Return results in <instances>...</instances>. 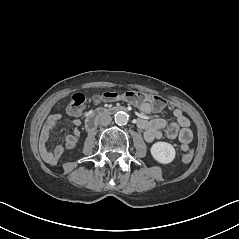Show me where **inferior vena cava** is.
<instances>
[{"label":"inferior vena cava","instance_id":"1","mask_svg":"<svg viewBox=\"0 0 239 239\" xmlns=\"http://www.w3.org/2000/svg\"><path fill=\"white\" fill-rule=\"evenodd\" d=\"M98 122L102 126H107L112 122V117L110 114L104 113L99 117Z\"/></svg>","mask_w":239,"mask_h":239}]
</instances>
